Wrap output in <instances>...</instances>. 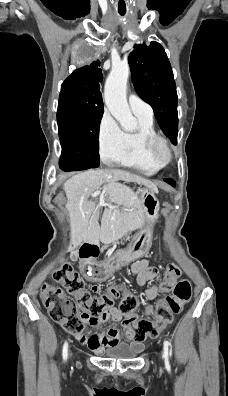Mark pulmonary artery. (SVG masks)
<instances>
[{
    "mask_svg": "<svg viewBox=\"0 0 228 396\" xmlns=\"http://www.w3.org/2000/svg\"><path fill=\"white\" fill-rule=\"evenodd\" d=\"M128 104L134 114L153 117L152 107L136 94L128 96Z\"/></svg>",
    "mask_w": 228,
    "mask_h": 396,
    "instance_id": "obj_1",
    "label": "pulmonary artery"
}]
</instances>
